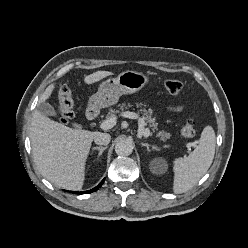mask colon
<instances>
[{
  "label": "colon",
  "mask_w": 248,
  "mask_h": 248,
  "mask_svg": "<svg viewBox=\"0 0 248 248\" xmlns=\"http://www.w3.org/2000/svg\"><path fill=\"white\" fill-rule=\"evenodd\" d=\"M164 86L166 91L172 95L178 94L183 88L182 83L178 80H167ZM58 96L60 120L64 123H68L74 116L72 92L68 86H62ZM181 133L184 138H193L196 134L194 122L192 120L187 121L181 129Z\"/></svg>",
  "instance_id": "colon-1"
}]
</instances>
